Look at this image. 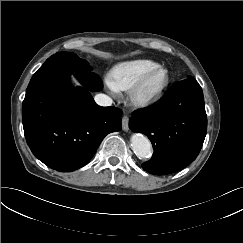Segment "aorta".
Instances as JSON below:
<instances>
[{"mask_svg": "<svg viewBox=\"0 0 243 243\" xmlns=\"http://www.w3.org/2000/svg\"><path fill=\"white\" fill-rule=\"evenodd\" d=\"M131 146L134 153L140 158H148L151 155V143L149 139L142 134L132 135Z\"/></svg>", "mask_w": 243, "mask_h": 243, "instance_id": "aorta-1", "label": "aorta"}]
</instances>
